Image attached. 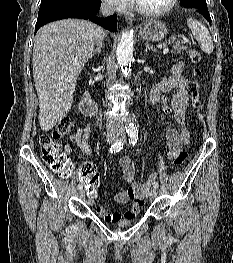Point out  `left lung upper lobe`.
I'll return each mask as SVG.
<instances>
[{
	"mask_svg": "<svg viewBox=\"0 0 233 263\" xmlns=\"http://www.w3.org/2000/svg\"><path fill=\"white\" fill-rule=\"evenodd\" d=\"M181 5L186 8H204L207 7L205 0H180Z\"/></svg>",
	"mask_w": 233,
	"mask_h": 263,
	"instance_id": "obj_1",
	"label": "left lung upper lobe"
}]
</instances>
